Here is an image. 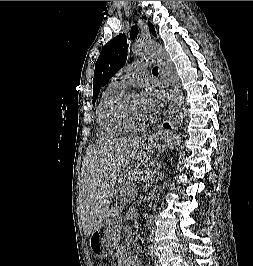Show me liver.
I'll list each match as a JSON object with an SVG mask.
<instances>
[{
	"label": "liver",
	"instance_id": "obj_1",
	"mask_svg": "<svg viewBox=\"0 0 253 266\" xmlns=\"http://www.w3.org/2000/svg\"><path fill=\"white\" fill-rule=\"evenodd\" d=\"M142 138L128 137L90 145L83 159L82 226L89 237L110 209L115 185L122 170L137 155Z\"/></svg>",
	"mask_w": 253,
	"mask_h": 266
}]
</instances>
